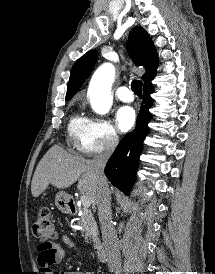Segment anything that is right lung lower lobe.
Segmentation results:
<instances>
[{
    "instance_id": "1",
    "label": "right lung lower lobe",
    "mask_w": 215,
    "mask_h": 274,
    "mask_svg": "<svg viewBox=\"0 0 215 274\" xmlns=\"http://www.w3.org/2000/svg\"><path fill=\"white\" fill-rule=\"evenodd\" d=\"M143 92V105L137 117L135 130L123 137L105 167L107 178L126 195H129L134 184L143 139L149 133L148 121L151 119L149 109L153 104L150 97L153 93L152 84L144 85Z\"/></svg>"
}]
</instances>
